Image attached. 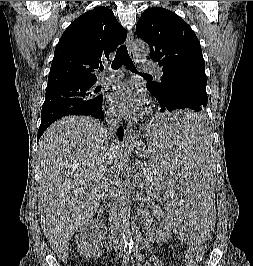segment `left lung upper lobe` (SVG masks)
I'll return each mask as SVG.
<instances>
[{
	"mask_svg": "<svg viewBox=\"0 0 253 266\" xmlns=\"http://www.w3.org/2000/svg\"><path fill=\"white\" fill-rule=\"evenodd\" d=\"M136 33L148 43L150 58L162 67L161 82L147 83L158 101L164 99L167 86L179 76L207 83L200 42L178 15L160 7L149 8L141 15Z\"/></svg>",
	"mask_w": 253,
	"mask_h": 266,
	"instance_id": "left-lung-upper-lobe-1",
	"label": "left lung upper lobe"
}]
</instances>
